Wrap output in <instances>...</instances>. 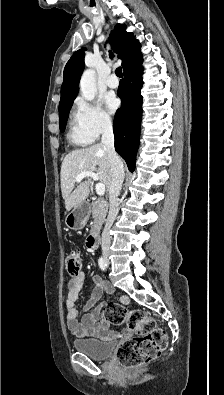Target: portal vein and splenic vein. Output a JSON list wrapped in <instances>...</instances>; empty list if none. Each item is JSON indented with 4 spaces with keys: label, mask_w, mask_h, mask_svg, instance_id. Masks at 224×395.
<instances>
[{
    "label": "portal vein and splenic vein",
    "mask_w": 224,
    "mask_h": 395,
    "mask_svg": "<svg viewBox=\"0 0 224 395\" xmlns=\"http://www.w3.org/2000/svg\"><path fill=\"white\" fill-rule=\"evenodd\" d=\"M85 177H91L93 180L97 181L99 179L98 175L94 172L84 171L77 175L75 178L76 182H81ZM105 185L103 183H97L95 190L97 195L103 196L105 194Z\"/></svg>",
    "instance_id": "18ae733b"
}]
</instances>
